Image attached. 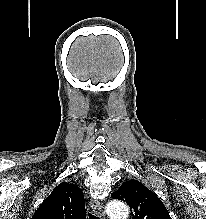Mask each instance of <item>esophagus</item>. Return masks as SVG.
<instances>
[{"instance_id":"obj_1","label":"esophagus","mask_w":206,"mask_h":219,"mask_svg":"<svg viewBox=\"0 0 206 219\" xmlns=\"http://www.w3.org/2000/svg\"><path fill=\"white\" fill-rule=\"evenodd\" d=\"M90 207H91L92 211L94 212V214L98 215L100 217V219H106L105 213L102 209V204L99 200H97L95 198H91L90 199Z\"/></svg>"}]
</instances>
